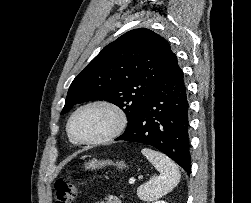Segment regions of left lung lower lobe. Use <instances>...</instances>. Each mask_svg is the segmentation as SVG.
Returning <instances> with one entry per match:
<instances>
[{"label": "left lung lower lobe", "instance_id": "1", "mask_svg": "<svg viewBox=\"0 0 251 203\" xmlns=\"http://www.w3.org/2000/svg\"><path fill=\"white\" fill-rule=\"evenodd\" d=\"M115 140L151 145L190 174L189 102L175 54L133 125Z\"/></svg>", "mask_w": 251, "mask_h": 203}]
</instances>
